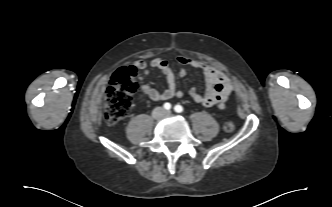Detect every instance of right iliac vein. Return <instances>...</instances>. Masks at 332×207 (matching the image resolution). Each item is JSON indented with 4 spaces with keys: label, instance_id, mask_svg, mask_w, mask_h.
I'll return each mask as SVG.
<instances>
[{
    "label": "right iliac vein",
    "instance_id": "1",
    "mask_svg": "<svg viewBox=\"0 0 332 207\" xmlns=\"http://www.w3.org/2000/svg\"><path fill=\"white\" fill-rule=\"evenodd\" d=\"M157 113H158V114H161V113H162V110H161V109H158V110H157Z\"/></svg>",
    "mask_w": 332,
    "mask_h": 207
}]
</instances>
